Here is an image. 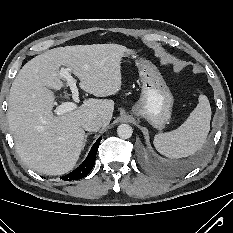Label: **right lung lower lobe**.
<instances>
[{
    "instance_id": "obj_1",
    "label": "right lung lower lobe",
    "mask_w": 233,
    "mask_h": 233,
    "mask_svg": "<svg viewBox=\"0 0 233 233\" xmlns=\"http://www.w3.org/2000/svg\"><path fill=\"white\" fill-rule=\"evenodd\" d=\"M101 139L102 137H99L98 140L94 143L84 162L71 173L62 176L61 177L62 180L70 181V180L81 179L85 177L92 170L95 164V158Z\"/></svg>"
}]
</instances>
